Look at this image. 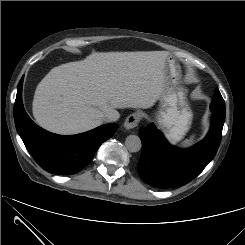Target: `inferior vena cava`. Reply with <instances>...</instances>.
Returning a JSON list of instances; mask_svg holds the SVG:
<instances>
[{
    "mask_svg": "<svg viewBox=\"0 0 245 245\" xmlns=\"http://www.w3.org/2000/svg\"><path fill=\"white\" fill-rule=\"evenodd\" d=\"M119 118V113L116 110H110L102 116V120L105 122H114Z\"/></svg>",
    "mask_w": 245,
    "mask_h": 245,
    "instance_id": "602c4592",
    "label": "inferior vena cava"
}]
</instances>
